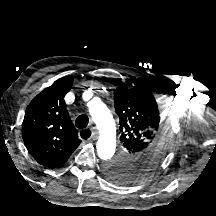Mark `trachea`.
I'll return each instance as SVG.
<instances>
[{"label":"trachea","mask_w":216,"mask_h":216,"mask_svg":"<svg viewBox=\"0 0 216 216\" xmlns=\"http://www.w3.org/2000/svg\"><path fill=\"white\" fill-rule=\"evenodd\" d=\"M89 123V118L87 115H79L75 120V126L79 129L86 128ZM91 133L82 134L83 139H88Z\"/></svg>","instance_id":"3493384b"}]
</instances>
